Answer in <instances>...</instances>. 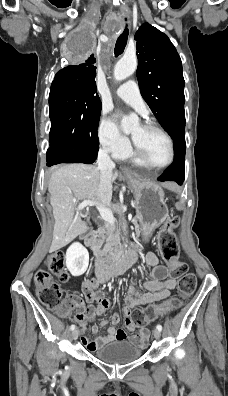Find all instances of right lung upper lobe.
Returning a JSON list of instances; mask_svg holds the SVG:
<instances>
[{
  "instance_id": "1",
  "label": "right lung upper lobe",
  "mask_w": 228,
  "mask_h": 396,
  "mask_svg": "<svg viewBox=\"0 0 228 396\" xmlns=\"http://www.w3.org/2000/svg\"><path fill=\"white\" fill-rule=\"evenodd\" d=\"M96 59L90 55L83 63L79 65H70L58 71L52 84H65L72 86L82 93L98 97L95 76H96Z\"/></svg>"
}]
</instances>
